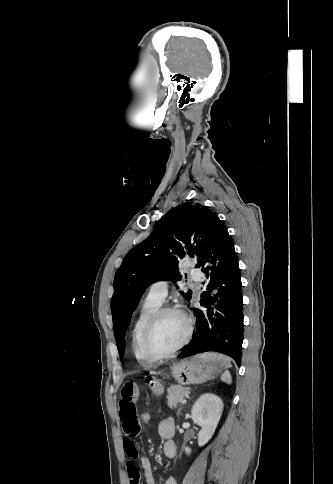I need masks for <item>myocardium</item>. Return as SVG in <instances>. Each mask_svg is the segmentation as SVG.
<instances>
[{
    "label": "myocardium",
    "instance_id": "myocardium-1",
    "mask_svg": "<svg viewBox=\"0 0 333 484\" xmlns=\"http://www.w3.org/2000/svg\"><path fill=\"white\" fill-rule=\"evenodd\" d=\"M176 313L179 314L186 322L187 330L183 340L180 342L178 346L167 353L158 354L155 353L150 346V339L153 333V330L158 323V321L166 314ZM194 330V324L191 318L180 308L174 306H164L160 307L148 320L145 325L143 335H142V349L145 355L153 360V361H161L165 359H169L176 355L180 350H182L191 340L192 334Z\"/></svg>",
    "mask_w": 333,
    "mask_h": 484
}]
</instances>
